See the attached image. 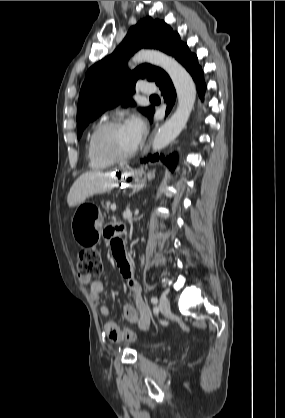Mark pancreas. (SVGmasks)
Wrapping results in <instances>:
<instances>
[{
	"mask_svg": "<svg viewBox=\"0 0 285 418\" xmlns=\"http://www.w3.org/2000/svg\"><path fill=\"white\" fill-rule=\"evenodd\" d=\"M109 206H110V203L109 202H102V207H103V209H105V210H107L108 211V209H109Z\"/></svg>",
	"mask_w": 285,
	"mask_h": 418,
	"instance_id": "pancreas-1",
	"label": "pancreas"
}]
</instances>
